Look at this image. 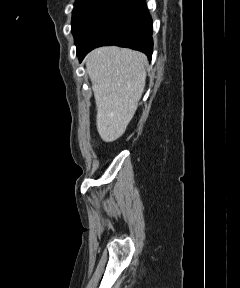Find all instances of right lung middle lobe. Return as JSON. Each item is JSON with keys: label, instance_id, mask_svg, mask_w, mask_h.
<instances>
[{"label": "right lung middle lobe", "instance_id": "1", "mask_svg": "<svg viewBox=\"0 0 240 288\" xmlns=\"http://www.w3.org/2000/svg\"><path fill=\"white\" fill-rule=\"evenodd\" d=\"M120 0H76L72 16V33L76 46L84 44L100 22Z\"/></svg>", "mask_w": 240, "mask_h": 288}]
</instances>
